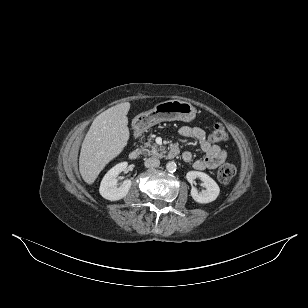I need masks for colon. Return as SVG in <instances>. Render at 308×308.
I'll list each match as a JSON object with an SVG mask.
<instances>
[{"label": "colon", "mask_w": 308, "mask_h": 308, "mask_svg": "<svg viewBox=\"0 0 308 308\" xmlns=\"http://www.w3.org/2000/svg\"><path fill=\"white\" fill-rule=\"evenodd\" d=\"M227 137L228 135L225 128L220 124H216L209 135V139L213 143L224 142L227 140ZM235 173L236 168L234 167V165L230 163H224L219 167L217 171V177L219 181L223 183H228L235 176Z\"/></svg>", "instance_id": "obj_1"}]
</instances>
